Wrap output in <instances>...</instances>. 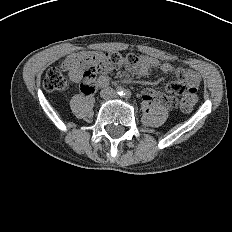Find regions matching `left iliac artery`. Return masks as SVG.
Instances as JSON below:
<instances>
[{"label": "left iliac artery", "mask_w": 232, "mask_h": 232, "mask_svg": "<svg viewBox=\"0 0 232 232\" xmlns=\"http://www.w3.org/2000/svg\"><path fill=\"white\" fill-rule=\"evenodd\" d=\"M125 98H130L131 97V92L129 90H126L124 93Z\"/></svg>", "instance_id": "left-iliac-artery-1"}]
</instances>
